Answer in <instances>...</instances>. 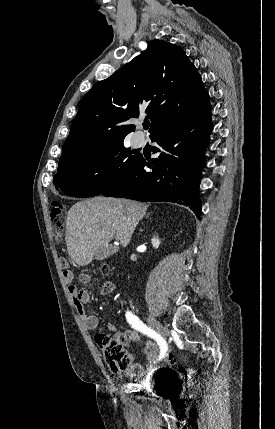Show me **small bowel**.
<instances>
[{
    "label": "small bowel",
    "instance_id": "1",
    "mask_svg": "<svg viewBox=\"0 0 275 429\" xmlns=\"http://www.w3.org/2000/svg\"><path fill=\"white\" fill-rule=\"evenodd\" d=\"M64 279L68 284V290L72 297L73 304L81 320L83 321L87 329L93 330L98 326V318L95 315H91L86 310V305L89 302L90 295L88 291L84 289H78L74 283V274L71 270L64 271ZM79 281L83 284L89 283L90 276L87 274H80ZM115 284L113 282H106L102 288L101 293L106 295L114 291ZM108 329L115 333L116 337L124 343H136L140 341V334L135 330L118 331L117 326L113 322H109L107 325ZM143 349L146 355L147 367L154 369L157 364L158 354L160 353V346L152 340H147L143 343ZM160 356V354H159ZM144 367L140 364H132L129 366L127 373L130 376H138L143 374Z\"/></svg>",
    "mask_w": 275,
    "mask_h": 429
}]
</instances>
